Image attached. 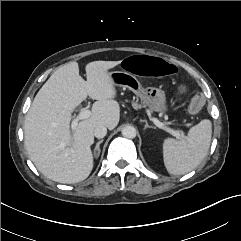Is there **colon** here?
<instances>
[{"label": "colon", "mask_w": 241, "mask_h": 241, "mask_svg": "<svg viewBox=\"0 0 241 241\" xmlns=\"http://www.w3.org/2000/svg\"><path fill=\"white\" fill-rule=\"evenodd\" d=\"M122 67L130 73L140 75L142 77H154L160 75L162 77L171 78L177 72L176 65L165 58L149 55L141 52L137 56L128 54L122 58ZM204 104V97L201 93H197L190 103V110L198 113Z\"/></svg>", "instance_id": "colon-1"}]
</instances>
